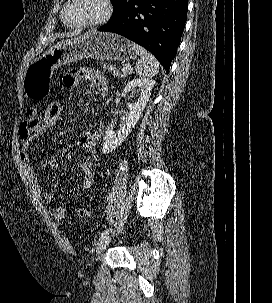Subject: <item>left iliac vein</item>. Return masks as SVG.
Here are the masks:
<instances>
[{"label": "left iliac vein", "instance_id": "left-iliac-vein-1", "mask_svg": "<svg viewBox=\"0 0 272 303\" xmlns=\"http://www.w3.org/2000/svg\"><path fill=\"white\" fill-rule=\"evenodd\" d=\"M112 235H113V231L110 230L107 235L102 236V237L99 238V240L96 243V247H95L97 257L100 256L102 251L108 245V243L110 242V240L112 238Z\"/></svg>", "mask_w": 272, "mask_h": 303}]
</instances>
